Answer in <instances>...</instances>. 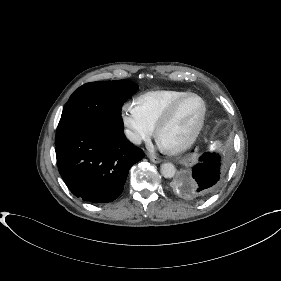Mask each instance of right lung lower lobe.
<instances>
[{"label":"right lung lower lobe","instance_id":"98d812e1","mask_svg":"<svg viewBox=\"0 0 281 281\" xmlns=\"http://www.w3.org/2000/svg\"><path fill=\"white\" fill-rule=\"evenodd\" d=\"M55 139L61 177L75 196L92 203L115 200L131 166L144 157L122 128L74 129L57 134Z\"/></svg>","mask_w":281,"mask_h":281}]
</instances>
